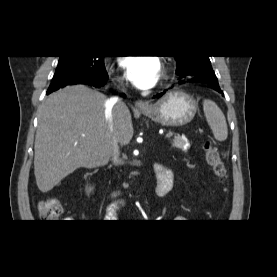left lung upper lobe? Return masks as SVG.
<instances>
[{
	"instance_id": "5c2ea615",
	"label": "left lung upper lobe",
	"mask_w": 277,
	"mask_h": 277,
	"mask_svg": "<svg viewBox=\"0 0 277 277\" xmlns=\"http://www.w3.org/2000/svg\"><path fill=\"white\" fill-rule=\"evenodd\" d=\"M177 61L176 74L180 78H191L202 75H215L209 56H174Z\"/></svg>"
}]
</instances>
